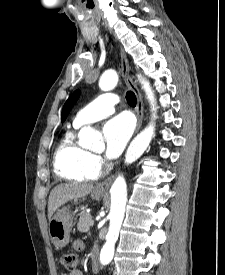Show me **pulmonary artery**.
<instances>
[{
    "label": "pulmonary artery",
    "mask_w": 225,
    "mask_h": 275,
    "mask_svg": "<svg viewBox=\"0 0 225 275\" xmlns=\"http://www.w3.org/2000/svg\"><path fill=\"white\" fill-rule=\"evenodd\" d=\"M118 102L119 98L116 94L104 93L80 110L75 116L74 123L82 126L104 118L114 112Z\"/></svg>",
    "instance_id": "1"
}]
</instances>
